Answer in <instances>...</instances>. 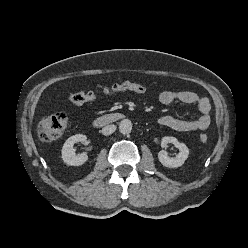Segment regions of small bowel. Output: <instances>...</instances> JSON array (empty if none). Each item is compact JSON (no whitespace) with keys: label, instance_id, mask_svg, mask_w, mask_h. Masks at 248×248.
I'll return each mask as SVG.
<instances>
[{"label":"small bowel","instance_id":"small-bowel-1","mask_svg":"<svg viewBox=\"0 0 248 248\" xmlns=\"http://www.w3.org/2000/svg\"><path fill=\"white\" fill-rule=\"evenodd\" d=\"M159 101L163 105L174 102L183 104H196L200 116L198 118H177L170 115H163L158 119V123L175 131L189 132L205 130L211 123V104L208 98L201 97L192 91H171L165 90L159 94Z\"/></svg>","mask_w":248,"mask_h":248}]
</instances>
